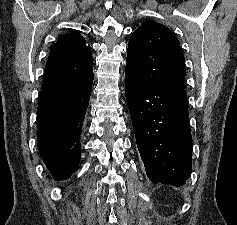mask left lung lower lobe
I'll use <instances>...</instances> for the list:
<instances>
[{
    "label": "left lung lower lobe",
    "instance_id": "left-lung-lower-lobe-1",
    "mask_svg": "<svg viewBox=\"0 0 237 225\" xmlns=\"http://www.w3.org/2000/svg\"><path fill=\"white\" fill-rule=\"evenodd\" d=\"M125 82L136 143L149 180L184 185L192 160L186 91L140 84L127 71Z\"/></svg>",
    "mask_w": 237,
    "mask_h": 225
}]
</instances>
